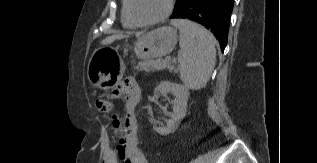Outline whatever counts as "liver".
<instances>
[{
    "instance_id": "6515ba94",
    "label": "liver",
    "mask_w": 317,
    "mask_h": 163,
    "mask_svg": "<svg viewBox=\"0 0 317 163\" xmlns=\"http://www.w3.org/2000/svg\"><path fill=\"white\" fill-rule=\"evenodd\" d=\"M126 36L125 35H112V36H108L106 37L102 42L101 44L102 45H108V44H111L112 42H114L115 40H120V39H123L125 38Z\"/></svg>"
}]
</instances>
